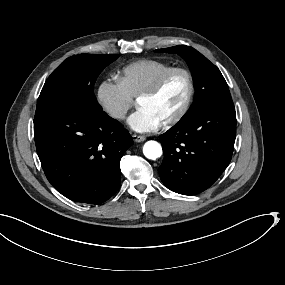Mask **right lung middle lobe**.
Here are the masks:
<instances>
[{"label":"right lung middle lobe","instance_id":"right-lung-middle-lobe-1","mask_svg":"<svg viewBox=\"0 0 285 285\" xmlns=\"http://www.w3.org/2000/svg\"><path fill=\"white\" fill-rule=\"evenodd\" d=\"M119 55L79 54L64 60L46 80L38 98L35 117L56 109L103 112L94 96L98 75Z\"/></svg>","mask_w":285,"mask_h":285}]
</instances>
